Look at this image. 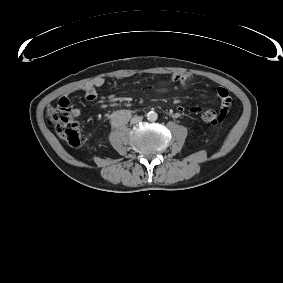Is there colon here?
Listing matches in <instances>:
<instances>
[{
  "mask_svg": "<svg viewBox=\"0 0 283 283\" xmlns=\"http://www.w3.org/2000/svg\"><path fill=\"white\" fill-rule=\"evenodd\" d=\"M226 110L207 109L203 113L204 121L210 124H220L226 115ZM47 118L58 136L68 145L77 147L81 143V128L72 115V106L67 97L59 99L55 106L48 109Z\"/></svg>",
  "mask_w": 283,
  "mask_h": 283,
  "instance_id": "colon-1",
  "label": "colon"
}]
</instances>
